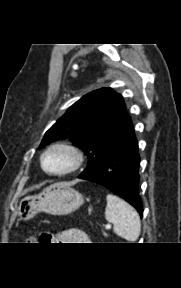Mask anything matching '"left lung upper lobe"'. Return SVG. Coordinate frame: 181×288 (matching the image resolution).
Returning <instances> with one entry per match:
<instances>
[{
    "instance_id": "1",
    "label": "left lung upper lobe",
    "mask_w": 181,
    "mask_h": 288,
    "mask_svg": "<svg viewBox=\"0 0 181 288\" xmlns=\"http://www.w3.org/2000/svg\"><path fill=\"white\" fill-rule=\"evenodd\" d=\"M128 120L122 96L111 88H101L73 104L45 133L39 149L55 140L71 138L88 157L87 168L80 174L85 176L120 140Z\"/></svg>"
}]
</instances>
